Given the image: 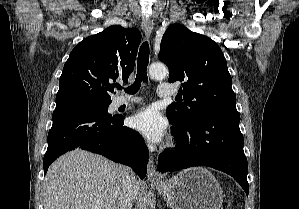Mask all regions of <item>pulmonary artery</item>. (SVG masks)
I'll return each instance as SVG.
<instances>
[{
  "label": "pulmonary artery",
  "mask_w": 299,
  "mask_h": 209,
  "mask_svg": "<svg viewBox=\"0 0 299 209\" xmlns=\"http://www.w3.org/2000/svg\"><path fill=\"white\" fill-rule=\"evenodd\" d=\"M175 93L174 88L168 83H160L158 85L157 94L160 97H171ZM141 98L132 97V98H121L119 100V105L135 104L141 102Z\"/></svg>",
  "instance_id": "obj_1"
}]
</instances>
